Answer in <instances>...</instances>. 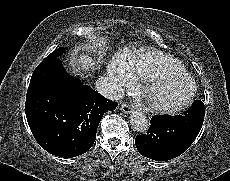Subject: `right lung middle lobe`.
I'll return each mask as SVG.
<instances>
[{
  "mask_svg": "<svg viewBox=\"0 0 230 181\" xmlns=\"http://www.w3.org/2000/svg\"><path fill=\"white\" fill-rule=\"evenodd\" d=\"M64 52V48L61 47L57 50H55L53 53H51L50 55H48L44 60H50V59H53V58H57L61 53Z\"/></svg>",
  "mask_w": 230,
  "mask_h": 181,
  "instance_id": "right-lung-middle-lobe-1",
  "label": "right lung middle lobe"
}]
</instances>
